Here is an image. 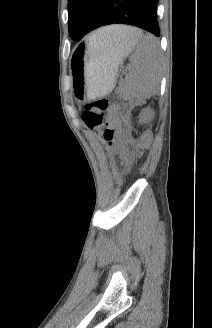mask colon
<instances>
[{
    "label": "colon",
    "instance_id": "colon-1",
    "mask_svg": "<svg viewBox=\"0 0 212 328\" xmlns=\"http://www.w3.org/2000/svg\"><path fill=\"white\" fill-rule=\"evenodd\" d=\"M111 109L107 99H94L86 104L82 117L88 129L97 132L110 148L120 152V144L126 136V131L112 115Z\"/></svg>",
    "mask_w": 212,
    "mask_h": 328
}]
</instances>
